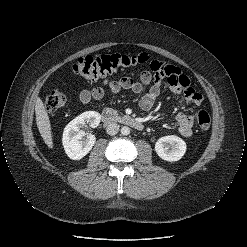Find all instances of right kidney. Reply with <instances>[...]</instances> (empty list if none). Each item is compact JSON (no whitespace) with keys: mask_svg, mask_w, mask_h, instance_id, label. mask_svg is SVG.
<instances>
[{"mask_svg":"<svg viewBox=\"0 0 247 247\" xmlns=\"http://www.w3.org/2000/svg\"><path fill=\"white\" fill-rule=\"evenodd\" d=\"M101 120V115L95 111H86L73 119L64 128L62 143L67 156L72 160H80L86 156L96 142L92 134H87L81 130L86 124L96 128Z\"/></svg>","mask_w":247,"mask_h":247,"instance_id":"right-kidney-1","label":"right kidney"}]
</instances>
